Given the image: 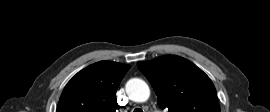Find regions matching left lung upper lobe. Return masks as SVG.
<instances>
[{
	"mask_svg": "<svg viewBox=\"0 0 270 112\" xmlns=\"http://www.w3.org/2000/svg\"><path fill=\"white\" fill-rule=\"evenodd\" d=\"M156 92L158 105L169 112H220L209 77L189 60L165 55L138 62Z\"/></svg>",
	"mask_w": 270,
	"mask_h": 112,
	"instance_id": "5c2ea615",
	"label": "left lung upper lobe"
}]
</instances>
